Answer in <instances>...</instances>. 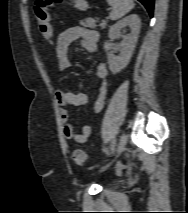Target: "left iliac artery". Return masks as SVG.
<instances>
[{
    "label": "left iliac artery",
    "instance_id": "left-iliac-artery-1",
    "mask_svg": "<svg viewBox=\"0 0 188 213\" xmlns=\"http://www.w3.org/2000/svg\"><path fill=\"white\" fill-rule=\"evenodd\" d=\"M115 146H116V139H113L112 143H111V150L112 151L115 149Z\"/></svg>",
    "mask_w": 188,
    "mask_h": 213
}]
</instances>
